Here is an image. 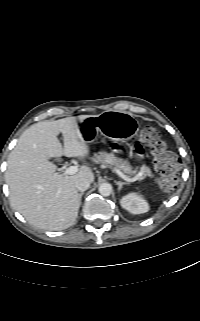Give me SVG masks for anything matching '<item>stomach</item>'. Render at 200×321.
I'll list each match as a JSON object with an SVG mask.
<instances>
[{
  "instance_id": "stomach-1",
  "label": "stomach",
  "mask_w": 200,
  "mask_h": 321,
  "mask_svg": "<svg viewBox=\"0 0 200 321\" xmlns=\"http://www.w3.org/2000/svg\"><path fill=\"white\" fill-rule=\"evenodd\" d=\"M78 128L86 142H92L97 132L110 140L128 141L139 131V125L131 114L114 110L87 116L79 121Z\"/></svg>"
}]
</instances>
